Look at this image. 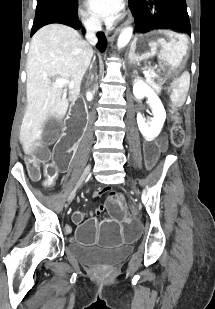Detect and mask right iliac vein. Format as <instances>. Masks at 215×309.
Here are the masks:
<instances>
[{"instance_id":"63e3f726","label":"right iliac vein","mask_w":215,"mask_h":309,"mask_svg":"<svg viewBox=\"0 0 215 309\" xmlns=\"http://www.w3.org/2000/svg\"><path fill=\"white\" fill-rule=\"evenodd\" d=\"M90 171V165H88L85 169H84V172L82 173V176H81V180L80 182L76 185L75 187V190H73L70 195L68 196V201H70L74 196H75V192L77 190V188L80 186L81 182L86 178L87 174L89 173Z\"/></svg>"}]
</instances>
